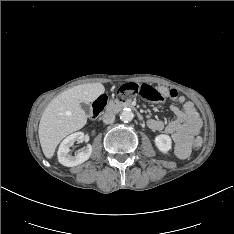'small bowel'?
<instances>
[{
    "instance_id": "c3829d8e",
    "label": "small bowel",
    "mask_w": 234,
    "mask_h": 234,
    "mask_svg": "<svg viewBox=\"0 0 234 234\" xmlns=\"http://www.w3.org/2000/svg\"><path fill=\"white\" fill-rule=\"evenodd\" d=\"M159 92L161 97L156 102H164L170 98L179 103L181 107L171 105V110L175 115L172 121L166 123L158 119H149L147 124L152 130H163L171 135L176 155L181 158L187 157L201 128L200 116L194 104L186 101L185 97L179 95L175 89H161Z\"/></svg>"
}]
</instances>
